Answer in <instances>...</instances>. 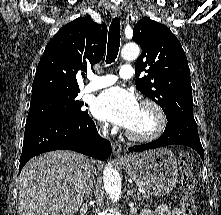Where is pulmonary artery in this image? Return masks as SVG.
Masks as SVG:
<instances>
[{"mask_svg":"<svg viewBox=\"0 0 221 215\" xmlns=\"http://www.w3.org/2000/svg\"><path fill=\"white\" fill-rule=\"evenodd\" d=\"M133 76V67L129 64L122 65L119 70V77L122 79H129ZM90 83H88L82 90L84 93H90L105 87H108L117 81V76L112 74L107 75H90Z\"/></svg>","mask_w":221,"mask_h":215,"instance_id":"1","label":"pulmonary artery"}]
</instances>
